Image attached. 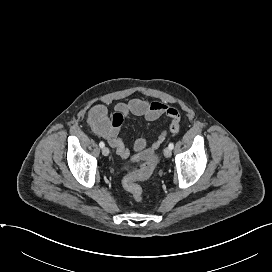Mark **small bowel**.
<instances>
[{"mask_svg": "<svg viewBox=\"0 0 272 272\" xmlns=\"http://www.w3.org/2000/svg\"><path fill=\"white\" fill-rule=\"evenodd\" d=\"M116 112L121 114L123 118H141L149 124L165 116L170 119L169 129L171 133L177 134L180 130L179 112L174 107L159 101L148 102L142 99H131L128 102L118 103ZM119 131V126H107L104 129L97 130V134L108 141L109 145L120 158L131 161L153 160L155 150L163 143L166 136V133L162 132L151 145L148 144L146 139L137 138L133 144L135 154L131 155L130 150L120 138Z\"/></svg>", "mask_w": 272, "mask_h": 272, "instance_id": "obj_1", "label": "small bowel"}]
</instances>
